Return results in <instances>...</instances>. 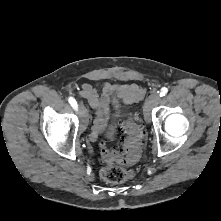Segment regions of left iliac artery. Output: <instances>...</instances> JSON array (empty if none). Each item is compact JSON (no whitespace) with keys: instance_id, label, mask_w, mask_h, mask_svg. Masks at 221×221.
Instances as JSON below:
<instances>
[{"instance_id":"left-iliac-artery-1","label":"left iliac artery","mask_w":221,"mask_h":221,"mask_svg":"<svg viewBox=\"0 0 221 221\" xmlns=\"http://www.w3.org/2000/svg\"><path fill=\"white\" fill-rule=\"evenodd\" d=\"M168 89L166 87L161 88L160 90V96L163 97L167 94Z\"/></svg>"}]
</instances>
